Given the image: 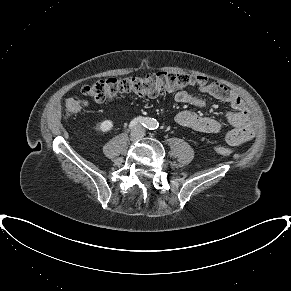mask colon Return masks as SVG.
I'll return each mask as SVG.
<instances>
[{"instance_id":"5ec220e1","label":"colon","mask_w":291,"mask_h":291,"mask_svg":"<svg viewBox=\"0 0 291 291\" xmlns=\"http://www.w3.org/2000/svg\"><path fill=\"white\" fill-rule=\"evenodd\" d=\"M211 84L213 83L202 76L194 77L181 73L157 72L124 79L97 80L84 86L81 92L95 102L101 103L113 101L125 95L154 98L190 87L203 88ZM87 104V101L79 97L68 99L65 103L66 116L70 117L79 113ZM213 150L222 156H232L234 154L232 148L221 145H215Z\"/></svg>"}]
</instances>
